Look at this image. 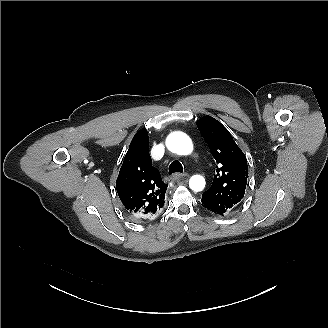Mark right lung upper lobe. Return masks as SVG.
Segmentation results:
<instances>
[{"instance_id": "cb5924a9", "label": "right lung upper lobe", "mask_w": 328, "mask_h": 328, "mask_svg": "<svg viewBox=\"0 0 328 328\" xmlns=\"http://www.w3.org/2000/svg\"><path fill=\"white\" fill-rule=\"evenodd\" d=\"M148 148L149 136L141 130L130 143L116 181L124 207L137 220L153 219L163 210L168 187L152 166Z\"/></svg>"}]
</instances>
